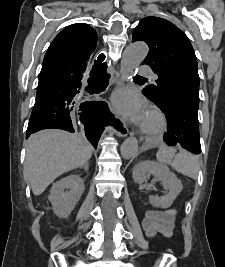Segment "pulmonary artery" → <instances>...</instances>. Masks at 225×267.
I'll list each match as a JSON object with an SVG mask.
<instances>
[{
    "instance_id": "pulmonary-artery-1",
    "label": "pulmonary artery",
    "mask_w": 225,
    "mask_h": 267,
    "mask_svg": "<svg viewBox=\"0 0 225 267\" xmlns=\"http://www.w3.org/2000/svg\"><path fill=\"white\" fill-rule=\"evenodd\" d=\"M140 73L143 75H146L152 79H156V74L148 66L142 67L140 70Z\"/></svg>"
}]
</instances>
